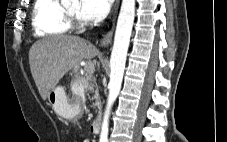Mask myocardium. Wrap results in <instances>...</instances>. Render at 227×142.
I'll list each match as a JSON object with an SVG mask.
<instances>
[{
	"instance_id": "1",
	"label": "myocardium",
	"mask_w": 227,
	"mask_h": 142,
	"mask_svg": "<svg viewBox=\"0 0 227 142\" xmlns=\"http://www.w3.org/2000/svg\"><path fill=\"white\" fill-rule=\"evenodd\" d=\"M63 12L66 21L71 27L82 28L87 25V23L80 16L70 12L67 8H63Z\"/></svg>"
}]
</instances>
